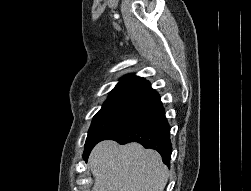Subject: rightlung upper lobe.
Returning a JSON list of instances; mask_svg holds the SVG:
<instances>
[{
  "instance_id": "right-lung-upper-lobe-1",
  "label": "right lung upper lobe",
  "mask_w": 251,
  "mask_h": 191,
  "mask_svg": "<svg viewBox=\"0 0 251 191\" xmlns=\"http://www.w3.org/2000/svg\"><path fill=\"white\" fill-rule=\"evenodd\" d=\"M159 99V94L151 88L148 81L127 75L121 78L103 106H125L145 110Z\"/></svg>"
}]
</instances>
